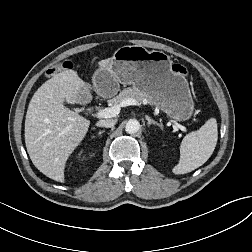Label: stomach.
Instances as JSON below:
<instances>
[{"label": "stomach", "instance_id": "0dacf381", "mask_svg": "<svg viewBox=\"0 0 252 252\" xmlns=\"http://www.w3.org/2000/svg\"><path fill=\"white\" fill-rule=\"evenodd\" d=\"M92 80L96 93L104 98L116 95L120 84H131L176 121L188 120L194 111L186 78L172 71L170 57L163 51H148L139 45L120 47L108 66L94 72Z\"/></svg>", "mask_w": 252, "mask_h": 252}]
</instances>
